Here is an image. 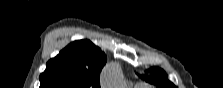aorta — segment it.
I'll return each mask as SVG.
<instances>
[{"mask_svg": "<svg viewBox=\"0 0 223 88\" xmlns=\"http://www.w3.org/2000/svg\"><path fill=\"white\" fill-rule=\"evenodd\" d=\"M101 86L103 88H121L123 78L117 63L108 64L101 75Z\"/></svg>", "mask_w": 223, "mask_h": 88, "instance_id": "1", "label": "aorta"}]
</instances>
